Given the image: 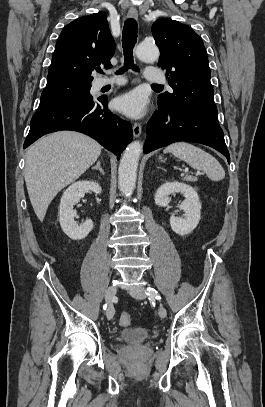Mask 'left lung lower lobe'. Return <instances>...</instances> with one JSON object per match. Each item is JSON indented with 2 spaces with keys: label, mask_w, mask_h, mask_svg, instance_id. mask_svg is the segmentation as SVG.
<instances>
[{
  "label": "left lung lower lobe",
  "mask_w": 265,
  "mask_h": 407,
  "mask_svg": "<svg viewBox=\"0 0 265 407\" xmlns=\"http://www.w3.org/2000/svg\"><path fill=\"white\" fill-rule=\"evenodd\" d=\"M178 141L208 145L222 153L230 163V155L219 124L191 112L159 109L148 122L144 153Z\"/></svg>",
  "instance_id": "0a47b994"
}]
</instances>
